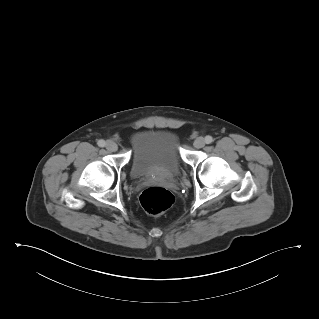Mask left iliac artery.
<instances>
[{"label":"left iliac artery","instance_id":"1","mask_svg":"<svg viewBox=\"0 0 319 319\" xmlns=\"http://www.w3.org/2000/svg\"><path fill=\"white\" fill-rule=\"evenodd\" d=\"M205 142H206L207 144H210V143L213 142V138L208 135V136L205 137Z\"/></svg>","mask_w":319,"mask_h":319}]
</instances>
